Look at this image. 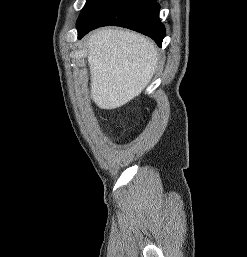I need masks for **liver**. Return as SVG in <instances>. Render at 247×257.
Listing matches in <instances>:
<instances>
[{"mask_svg": "<svg viewBox=\"0 0 247 257\" xmlns=\"http://www.w3.org/2000/svg\"><path fill=\"white\" fill-rule=\"evenodd\" d=\"M91 98L101 109L119 108L141 92L157 68V49L147 37L102 28L86 38Z\"/></svg>", "mask_w": 247, "mask_h": 257, "instance_id": "6515ba94", "label": "liver"}]
</instances>
